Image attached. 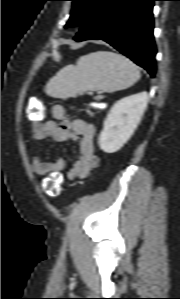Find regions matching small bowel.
Instances as JSON below:
<instances>
[{"instance_id":"1","label":"small bowel","mask_w":180,"mask_h":299,"mask_svg":"<svg viewBox=\"0 0 180 299\" xmlns=\"http://www.w3.org/2000/svg\"><path fill=\"white\" fill-rule=\"evenodd\" d=\"M31 140L41 143L46 139L54 142H76L79 140V152L73 161L72 168L67 172L69 180L87 178L98 166L99 158L95 153V127L84 119H71L64 106L56 104L52 107V119L38 120L30 117ZM66 160L62 157L53 161L37 156L31 165L32 171L38 176H46L64 170Z\"/></svg>"}]
</instances>
